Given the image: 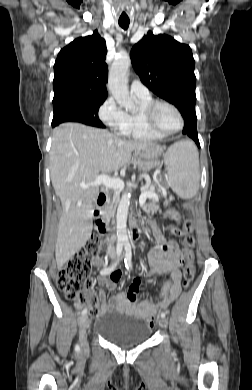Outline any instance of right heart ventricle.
Segmentation results:
<instances>
[{
  "instance_id": "right-heart-ventricle-1",
  "label": "right heart ventricle",
  "mask_w": 252,
  "mask_h": 390,
  "mask_svg": "<svg viewBox=\"0 0 252 390\" xmlns=\"http://www.w3.org/2000/svg\"><path fill=\"white\" fill-rule=\"evenodd\" d=\"M139 110L135 113L127 114L128 131L125 137L136 141H157L165 136L151 132L144 124L142 113L154 100L151 96L147 98H136Z\"/></svg>"
}]
</instances>
